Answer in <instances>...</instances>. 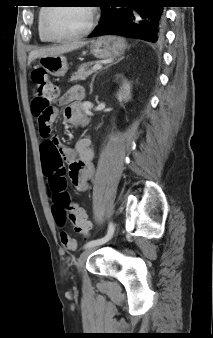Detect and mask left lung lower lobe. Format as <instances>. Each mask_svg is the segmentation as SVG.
<instances>
[{"mask_svg": "<svg viewBox=\"0 0 213 338\" xmlns=\"http://www.w3.org/2000/svg\"><path fill=\"white\" fill-rule=\"evenodd\" d=\"M99 25L89 35H120L158 43L164 38L162 0H103Z\"/></svg>", "mask_w": 213, "mask_h": 338, "instance_id": "obj_1", "label": "left lung lower lobe"}]
</instances>
